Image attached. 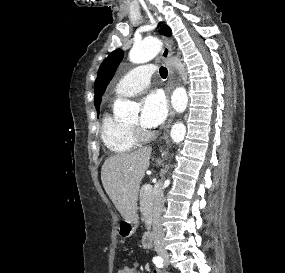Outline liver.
<instances>
[{
  "mask_svg": "<svg viewBox=\"0 0 285 273\" xmlns=\"http://www.w3.org/2000/svg\"><path fill=\"white\" fill-rule=\"evenodd\" d=\"M152 149L144 147L134 152L115 154L107 158L102 166L103 187L124 220H134L137 215L138 191ZM161 165L160 159L156 160Z\"/></svg>",
  "mask_w": 285,
  "mask_h": 273,
  "instance_id": "6515ba94",
  "label": "liver"
}]
</instances>
